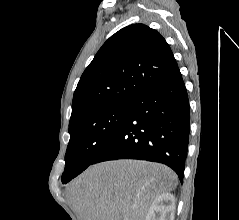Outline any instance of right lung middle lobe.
<instances>
[{
	"label": "right lung middle lobe",
	"instance_id": "obj_1",
	"mask_svg": "<svg viewBox=\"0 0 239 220\" xmlns=\"http://www.w3.org/2000/svg\"><path fill=\"white\" fill-rule=\"evenodd\" d=\"M129 104H118L86 114L69 124L70 141L65 155L62 183L91 165L124 121Z\"/></svg>",
	"mask_w": 239,
	"mask_h": 220
}]
</instances>
